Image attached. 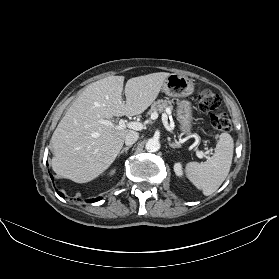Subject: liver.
I'll use <instances>...</instances> for the list:
<instances>
[{
    "mask_svg": "<svg viewBox=\"0 0 279 279\" xmlns=\"http://www.w3.org/2000/svg\"><path fill=\"white\" fill-rule=\"evenodd\" d=\"M170 73L134 77L109 76L90 84L67 110L51 138L52 169L77 183L89 182L114 162L129 129H116L99 120L143 113L158 97Z\"/></svg>",
    "mask_w": 279,
    "mask_h": 279,
    "instance_id": "liver-1",
    "label": "liver"
}]
</instances>
